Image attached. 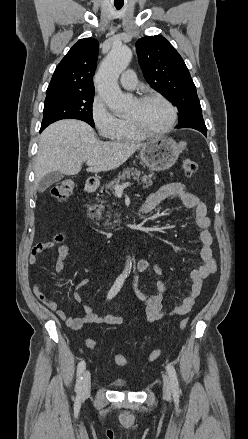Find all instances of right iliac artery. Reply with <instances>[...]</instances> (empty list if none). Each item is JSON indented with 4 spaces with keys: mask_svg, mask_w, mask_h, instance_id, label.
I'll use <instances>...</instances> for the list:
<instances>
[{
    "mask_svg": "<svg viewBox=\"0 0 248 439\" xmlns=\"http://www.w3.org/2000/svg\"><path fill=\"white\" fill-rule=\"evenodd\" d=\"M126 275L121 274L116 281L114 282L113 286L111 287L110 291L108 292L107 299H112L121 289L124 281H125ZM86 368V363L84 360L80 361L77 367V383L75 386V391L80 394L82 390V373L84 372Z\"/></svg>",
    "mask_w": 248,
    "mask_h": 439,
    "instance_id": "obj_1",
    "label": "right iliac artery"
}]
</instances>
